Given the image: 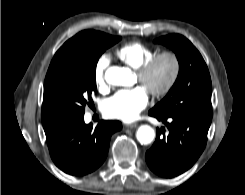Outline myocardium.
Returning a JSON list of instances; mask_svg holds the SVG:
<instances>
[{
  "mask_svg": "<svg viewBox=\"0 0 245 195\" xmlns=\"http://www.w3.org/2000/svg\"><path fill=\"white\" fill-rule=\"evenodd\" d=\"M162 59L169 60L171 65V71L168 79L166 80L164 85L159 88H147L146 82L151 71L156 66V64ZM180 70H181V63L177 53H175L174 51L166 50L154 54L150 59L144 62L136 70V73L139 82L146 87V89L150 92L151 95L155 97H162L168 94L175 86L180 75Z\"/></svg>",
  "mask_w": 245,
  "mask_h": 195,
  "instance_id": "myocardium-1",
  "label": "myocardium"
}]
</instances>
